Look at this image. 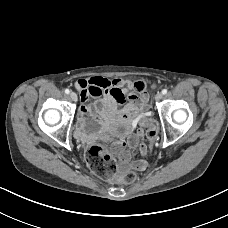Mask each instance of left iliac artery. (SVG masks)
Here are the masks:
<instances>
[{
  "label": "left iliac artery",
  "mask_w": 228,
  "mask_h": 228,
  "mask_svg": "<svg viewBox=\"0 0 228 228\" xmlns=\"http://www.w3.org/2000/svg\"><path fill=\"white\" fill-rule=\"evenodd\" d=\"M166 93H167V89H163V90H162V94L165 95Z\"/></svg>",
  "instance_id": "44dca946"
}]
</instances>
